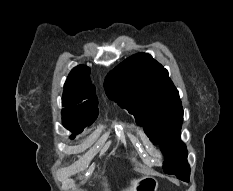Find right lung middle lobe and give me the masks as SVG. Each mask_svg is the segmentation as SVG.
<instances>
[{"instance_id": "dd1d6c3e", "label": "right lung middle lobe", "mask_w": 233, "mask_h": 191, "mask_svg": "<svg viewBox=\"0 0 233 191\" xmlns=\"http://www.w3.org/2000/svg\"><path fill=\"white\" fill-rule=\"evenodd\" d=\"M97 116V114L92 116H67L63 114V124L68 130L77 134L87 125H91ZM71 137L74 138L75 135Z\"/></svg>"}]
</instances>
